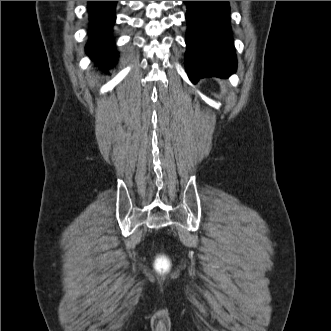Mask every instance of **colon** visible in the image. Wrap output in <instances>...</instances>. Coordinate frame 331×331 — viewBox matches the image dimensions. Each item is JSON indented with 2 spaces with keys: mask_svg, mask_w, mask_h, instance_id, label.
Returning <instances> with one entry per match:
<instances>
[{
  "mask_svg": "<svg viewBox=\"0 0 331 331\" xmlns=\"http://www.w3.org/2000/svg\"><path fill=\"white\" fill-rule=\"evenodd\" d=\"M156 268L161 273L166 272L169 269V261L164 257H160L157 260Z\"/></svg>",
  "mask_w": 331,
  "mask_h": 331,
  "instance_id": "1",
  "label": "colon"
}]
</instances>
